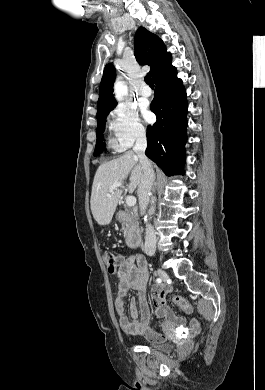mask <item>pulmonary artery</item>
<instances>
[{"mask_svg":"<svg viewBox=\"0 0 265 390\" xmlns=\"http://www.w3.org/2000/svg\"><path fill=\"white\" fill-rule=\"evenodd\" d=\"M139 94L142 97H149L151 96V89L147 85L142 84L139 88Z\"/></svg>","mask_w":265,"mask_h":390,"instance_id":"e3ab8cb5","label":"pulmonary artery"}]
</instances>
